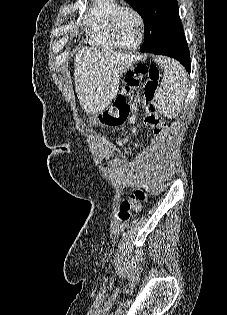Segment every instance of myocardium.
<instances>
[{
    "label": "myocardium",
    "instance_id": "1",
    "mask_svg": "<svg viewBox=\"0 0 227 315\" xmlns=\"http://www.w3.org/2000/svg\"><path fill=\"white\" fill-rule=\"evenodd\" d=\"M125 12H131L132 14H134L135 17L137 18L138 24H139V38H138L137 43L133 46L122 45L118 41L116 34H115L116 24H117L119 18L121 17V15ZM109 36H110L112 43L116 47H118L122 50L132 51V50L138 49L142 45V43L144 41V36H145V20H144L143 15L140 13V11L138 9H136L132 6H120L111 17L110 24H109Z\"/></svg>",
    "mask_w": 227,
    "mask_h": 315
}]
</instances>
